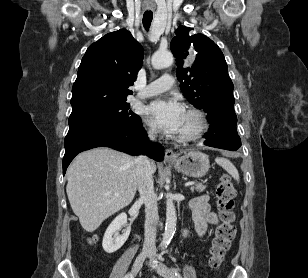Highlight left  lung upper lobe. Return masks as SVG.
<instances>
[{
	"label": "left lung upper lobe",
	"instance_id": "left-lung-upper-lobe-1",
	"mask_svg": "<svg viewBox=\"0 0 308 278\" xmlns=\"http://www.w3.org/2000/svg\"><path fill=\"white\" fill-rule=\"evenodd\" d=\"M190 30L179 26L170 44L183 95L205 112L221 104L234 105V86L223 53L208 37L192 35Z\"/></svg>",
	"mask_w": 308,
	"mask_h": 278
}]
</instances>
